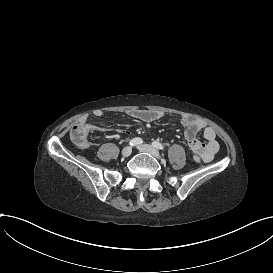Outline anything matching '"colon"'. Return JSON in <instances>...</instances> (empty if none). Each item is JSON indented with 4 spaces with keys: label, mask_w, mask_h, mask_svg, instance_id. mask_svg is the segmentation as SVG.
<instances>
[{
    "label": "colon",
    "mask_w": 273,
    "mask_h": 273,
    "mask_svg": "<svg viewBox=\"0 0 273 273\" xmlns=\"http://www.w3.org/2000/svg\"><path fill=\"white\" fill-rule=\"evenodd\" d=\"M90 131V125L86 121H81L77 125L74 126L71 134L72 141L76 144L79 148H84L88 144L87 134ZM188 147L200 153L206 151L207 146L205 143L201 141H197L194 138H191L187 142Z\"/></svg>",
    "instance_id": "obj_1"
}]
</instances>
